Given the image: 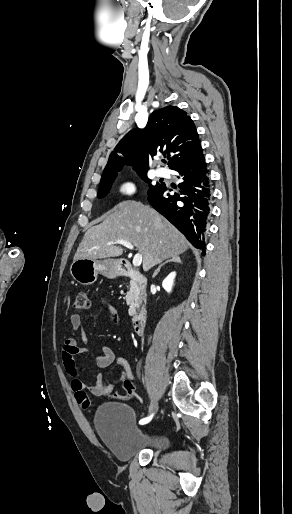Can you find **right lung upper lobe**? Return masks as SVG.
Listing matches in <instances>:
<instances>
[{
    "mask_svg": "<svg viewBox=\"0 0 292 514\" xmlns=\"http://www.w3.org/2000/svg\"><path fill=\"white\" fill-rule=\"evenodd\" d=\"M160 152L167 154L172 170L202 154L192 119L176 106L154 111L144 129L128 132L110 154L101 181L116 178L124 165L134 166L138 174L147 173L149 156Z\"/></svg>",
    "mask_w": 292,
    "mask_h": 514,
    "instance_id": "1",
    "label": "right lung upper lobe"
}]
</instances>
